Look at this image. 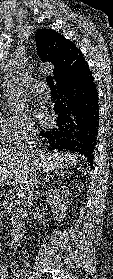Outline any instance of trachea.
Masks as SVG:
<instances>
[{"instance_id": "3493384b", "label": "trachea", "mask_w": 113, "mask_h": 279, "mask_svg": "<svg viewBox=\"0 0 113 279\" xmlns=\"http://www.w3.org/2000/svg\"><path fill=\"white\" fill-rule=\"evenodd\" d=\"M46 81H47V84L50 87V89H56V87L54 85V82H53V79H52V77L50 75H48L46 77Z\"/></svg>"}]
</instances>
